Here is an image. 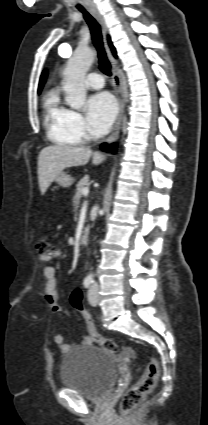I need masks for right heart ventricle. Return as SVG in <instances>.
<instances>
[{"mask_svg": "<svg viewBox=\"0 0 208 425\" xmlns=\"http://www.w3.org/2000/svg\"><path fill=\"white\" fill-rule=\"evenodd\" d=\"M68 114L59 95L48 93L44 101V125L48 138L55 144L77 145L80 142L69 127Z\"/></svg>", "mask_w": 208, "mask_h": 425, "instance_id": "1", "label": "right heart ventricle"}]
</instances>
